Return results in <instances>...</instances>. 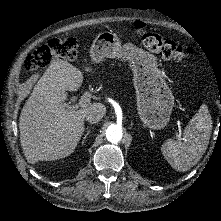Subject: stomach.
I'll list each match as a JSON object with an SVG mask.
<instances>
[{
  "instance_id": "0dacf381",
  "label": "stomach",
  "mask_w": 221,
  "mask_h": 221,
  "mask_svg": "<svg viewBox=\"0 0 221 221\" xmlns=\"http://www.w3.org/2000/svg\"><path fill=\"white\" fill-rule=\"evenodd\" d=\"M90 56L93 61L103 57L128 58L133 71L137 110L142 122L153 130L167 126L174 96L157 69L152 55L131 43L122 46L115 33L102 32L94 39Z\"/></svg>"
}]
</instances>
